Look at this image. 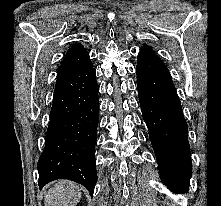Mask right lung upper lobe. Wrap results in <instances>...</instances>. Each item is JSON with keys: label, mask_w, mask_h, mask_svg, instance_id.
Segmentation results:
<instances>
[{"label": "right lung upper lobe", "mask_w": 221, "mask_h": 206, "mask_svg": "<svg viewBox=\"0 0 221 206\" xmlns=\"http://www.w3.org/2000/svg\"><path fill=\"white\" fill-rule=\"evenodd\" d=\"M90 62L89 54L84 46L80 43H75L66 53L62 64L58 68L57 79H60Z\"/></svg>", "instance_id": "1"}]
</instances>
